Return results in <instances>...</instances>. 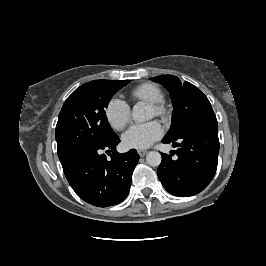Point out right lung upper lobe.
<instances>
[{
    "mask_svg": "<svg viewBox=\"0 0 266 266\" xmlns=\"http://www.w3.org/2000/svg\"><path fill=\"white\" fill-rule=\"evenodd\" d=\"M95 81V80H94ZM91 82H93V81H91ZM91 82H88V83H91ZM88 83H85V84H88ZM85 84H83V85H85Z\"/></svg>",
    "mask_w": 266,
    "mask_h": 266,
    "instance_id": "cb5924a9",
    "label": "right lung upper lobe"
}]
</instances>
